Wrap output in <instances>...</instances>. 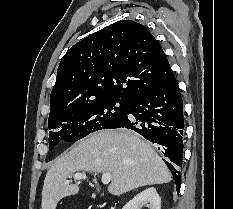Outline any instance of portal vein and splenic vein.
I'll return each mask as SVG.
<instances>
[{
    "label": "portal vein and splenic vein",
    "instance_id": "1",
    "mask_svg": "<svg viewBox=\"0 0 233 209\" xmlns=\"http://www.w3.org/2000/svg\"><path fill=\"white\" fill-rule=\"evenodd\" d=\"M69 178H71V177H69ZM73 178L74 179H77V180H81V179H86L87 178V176H86V174H84V173H77V174H75L74 176H73ZM102 183L103 184H108V183H110L111 182V180H112V175L110 174V173H103V175H102ZM70 181L69 180H66V184H68Z\"/></svg>",
    "mask_w": 233,
    "mask_h": 209
}]
</instances>
